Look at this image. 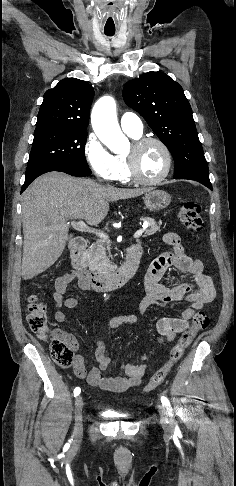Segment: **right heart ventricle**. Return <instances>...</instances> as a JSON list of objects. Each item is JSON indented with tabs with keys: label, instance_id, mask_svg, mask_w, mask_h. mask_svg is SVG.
I'll return each instance as SVG.
<instances>
[{
	"label": "right heart ventricle",
	"instance_id": "obj_1",
	"mask_svg": "<svg viewBox=\"0 0 236 486\" xmlns=\"http://www.w3.org/2000/svg\"><path fill=\"white\" fill-rule=\"evenodd\" d=\"M130 136L134 139L140 138V136H134V135H130ZM115 160H116L117 167H118L116 180L121 182V183L132 182V180L129 176V173H128V168H127L125 156L117 155V156H115Z\"/></svg>",
	"mask_w": 236,
	"mask_h": 486
}]
</instances>
